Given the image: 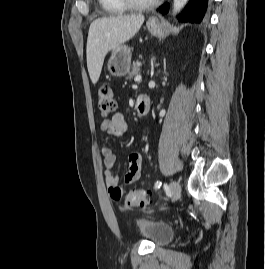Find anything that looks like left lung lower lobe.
I'll use <instances>...</instances> for the list:
<instances>
[{"instance_id": "left-lung-lower-lobe-1", "label": "left lung lower lobe", "mask_w": 265, "mask_h": 269, "mask_svg": "<svg viewBox=\"0 0 265 269\" xmlns=\"http://www.w3.org/2000/svg\"><path fill=\"white\" fill-rule=\"evenodd\" d=\"M209 0H189L185 10L178 16V19L182 22L201 23ZM169 5H165L160 12L166 14L168 12Z\"/></svg>"}]
</instances>
